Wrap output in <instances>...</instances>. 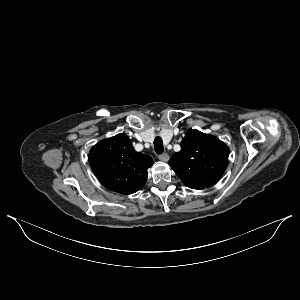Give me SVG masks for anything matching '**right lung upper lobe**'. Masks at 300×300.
<instances>
[{
    "instance_id": "obj_1",
    "label": "right lung upper lobe",
    "mask_w": 300,
    "mask_h": 300,
    "mask_svg": "<svg viewBox=\"0 0 300 300\" xmlns=\"http://www.w3.org/2000/svg\"><path fill=\"white\" fill-rule=\"evenodd\" d=\"M89 163L107 189L128 195L145 185L147 169L153 165V160L136 152L126 135L118 134L94 145L89 153Z\"/></svg>"
}]
</instances>
